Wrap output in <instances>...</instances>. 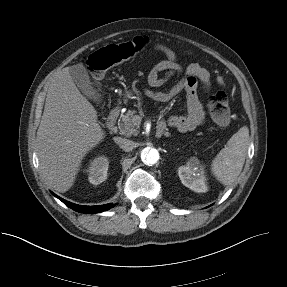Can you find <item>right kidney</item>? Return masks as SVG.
I'll return each mask as SVG.
<instances>
[{"label": "right kidney", "mask_w": 287, "mask_h": 287, "mask_svg": "<svg viewBox=\"0 0 287 287\" xmlns=\"http://www.w3.org/2000/svg\"><path fill=\"white\" fill-rule=\"evenodd\" d=\"M109 161L105 156H99L90 161L86 172L91 184L98 185L107 179Z\"/></svg>", "instance_id": "1"}]
</instances>
